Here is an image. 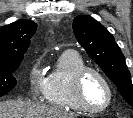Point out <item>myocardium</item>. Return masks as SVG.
Masks as SVG:
<instances>
[{
    "label": "myocardium",
    "instance_id": "f54148a6",
    "mask_svg": "<svg viewBox=\"0 0 133 118\" xmlns=\"http://www.w3.org/2000/svg\"><path fill=\"white\" fill-rule=\"evenodd\" d=\"M96 74L105 84L108 92L107 102L99 108H93L88 105L84 97V81L88 74ZM74 97L80 108L91 114H98L106 111L112 104L114 98V90L108 77L98 68L86 66L82 68L74 79Z\"/></svg>",
    "mask_w": 133,
    "mask_h": 118
}]
</instances>
